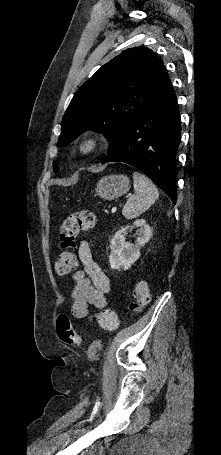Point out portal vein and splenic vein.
<instances>
[{
    "mask_svg": "<svg viewBox=\"0 0 221 455\" xmlns=\"http://www.w3.org/2000/svg\"><path fill=\"white\" fill-rule=\"evenodd\" d=\"M116 210H117V208H116V207H113V208L111 209V212L114 213V212H116Z\"/></svg>",
    "mask_w": 221,
    "mask_h": 455,
    "instance_id": "18ae733b",
    "label": "portal vein and splenic vein"
}]
</instances>
